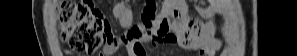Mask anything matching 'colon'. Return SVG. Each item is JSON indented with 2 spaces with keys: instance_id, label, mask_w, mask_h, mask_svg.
<instances>
[{
  "instance_id": "1",
  "label": "colon",
  "mask_w": 297,
  "mask_h": 56,
  "mask_svg": "<svg viewBox=\"0 0 297 56\" xmlns=\"http://www.w3.org/2000/svg\"><path fill=\"white\" fill-rule=\"evenodd\" d=\"M61 38L74 52L93 54L112 38L108 21L88 1L61 2Z\"/></svg>"
}]
</instances>
